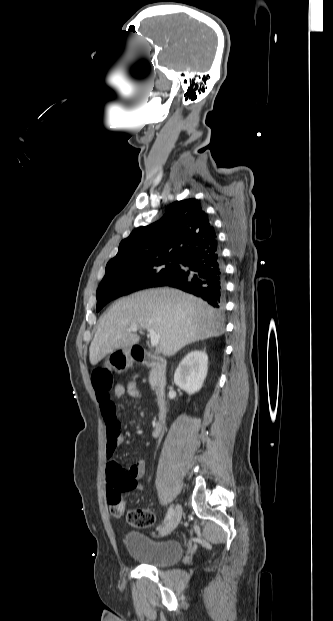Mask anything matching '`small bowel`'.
Segmentation results:
<instances>
[{
    "label": "small bowel",
    "mask_w": 333,
    "mask_h": 621,
    "mask_svg": "<svg viewBox=\"0 0 333 621\" xmlns=\"http://www.w3.org/2000/svg\"><path fill=\"white\" fill-rule=\"evenodd\" d=\"M112 375L106 368H96L93 373V385L97 395V399L100 405L102 417L106 425L107 446L106 455L109 463L115 461L116 450L118 446L123 442L124 437L121 433L120 422L117 416V410L113 401V396L120 398L124 396V386L117 384L112 393ZM108 463V464H109ZM146 462L144 459H139L129 465L126 469L134 480L133 489H141L142 485L139 482L140 478L144 474ZM132 489V490H133ZM115 488L109 481L107 486V502L109 507L114 505L125 506L123 499V493Z\"/></svg>",
    "instance_id": "c3829d8e"
}]
</instances>
